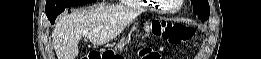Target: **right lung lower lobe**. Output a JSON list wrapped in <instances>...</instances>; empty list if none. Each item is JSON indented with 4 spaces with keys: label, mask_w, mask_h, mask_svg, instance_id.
<instances>
[{
    "label": "right lung lower lobe",
    "mask_w": 261,
    "mask_h": 59,
    "mask_svg": "<svg viewBox=\"0 0 261 59\" xmlns=\"http://www.w3.org/2000/svg\"><path fill=\"white\" fill-rule=\"evenodd\" d=\"M64 11V10H63ZM62 12V11H61ZM60 12V13H61ZM59 13V14H60ZM59 14H56V15H54V16H51V17H48V19L50 20V22H51V24H54L55 23V19H56V17L59 15Z\"/></svg>",
    "instance_id": "1"
}]
</instances>
